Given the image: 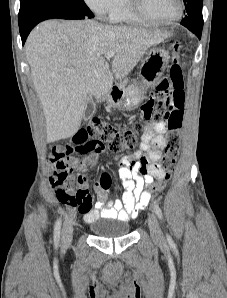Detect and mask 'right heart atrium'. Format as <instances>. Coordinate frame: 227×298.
<instances>
[{"mask_svg":"<svg viewBox=\"0 0 227 298\" xmlns=\"http://www.w3.org/2000/svg\"><path fill=\"white\" fill-rule=\"evenodd\" d=\"M85 4L97 15H110L118 5L119 0H84Z\"/></svg>","mask_w":227,"mask_h":298,"instance_id":"1","label":"right heart atrium"}]
</instances>
